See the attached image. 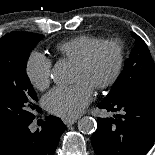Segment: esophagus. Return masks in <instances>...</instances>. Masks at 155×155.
Here are the masks:
<instances>
[{
	"mask_svg": "<svg viewBox=\"0 0 155 155\" xmlns=\"http://www.w3.org/2000/svg\"><path fill=\"white\" fill-rule=\"evenodd\" d=\"M76 122V119H64V123L69 127Z\"/></svg>",
	"mask_w": 155,
	"mask_h": 155,
	"instance_id": "esophagus-1",
	"label": "esophagus"
}]
</instances>
